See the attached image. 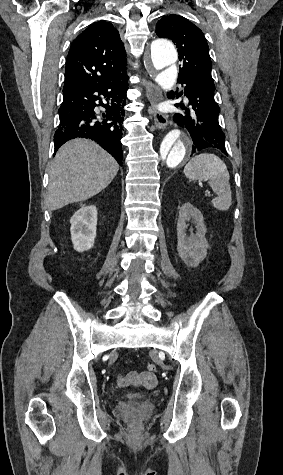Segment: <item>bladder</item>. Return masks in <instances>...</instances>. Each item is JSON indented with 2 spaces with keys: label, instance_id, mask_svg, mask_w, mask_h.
Masks as SVG:
<instances>
[{
  "label": "bladder",
  "instance_id": "obj_1",
  "mask_svg": "<svg viewBox=\"0 0 283 475\" xmlns=\"http://www.w3.org/2000/svg\"><path fill=\"white\" fill-rule=\"evenodd\" d=\"M125 398L132 404L140 403L143 400V397H137L136 395H132L130 393L125 394Z\"/></svg>",
  "mask_w": 283,
  "mask_h": 475
}]
</instances>
